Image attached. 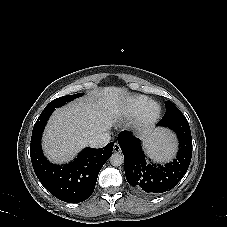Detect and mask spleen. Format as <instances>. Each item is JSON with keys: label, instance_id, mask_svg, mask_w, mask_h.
<instances>
[{"label": "spleen", "instance_id": "1", "mask_svg": "<svg viewBox=\"0 0 227 227\" xmlns=\"http://www.w3.org/2000/svg\"><path fill=\"white\" fill-rule=\"evenodd\" d=\"M139 138L143 144L140 155L151 165L171 164L181 154L182 145L179 135L160 122L151 121L143 125Z\"/></svg>", "mask_w": 227, "mask_h": 227}]
</instances>
